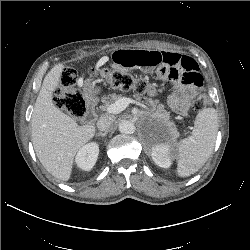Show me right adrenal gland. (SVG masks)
I'll return each mask as SVG.
<instances>
[{
	"label": "right adrenal gland",
	"instance_id": "obj_1",
	"mask_svg": "<svg viewBox=\"0 0 250 250\" xmlns=\"http://www.w3.org/2000/svg\"><path fill=\"white\" fill-rule=\"evenodd\" d=\"M108 131H105V132H99L96 134V136H102V137H105L107 135Z\"/></svg>",
	"mask_w": 250,
	"mask_h": 250
}]
</instances>
